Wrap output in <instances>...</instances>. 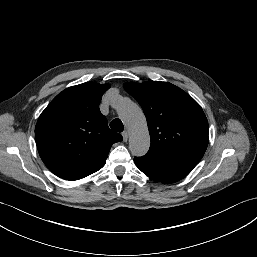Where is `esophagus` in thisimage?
Instances as JSON below:
<instances>
[{
	"instance_id": "esophagus-1",
	"label": "esophagus",
	"mask_w": 257,
	"mask_h": 257,
	"mask_svg": "<svg viewBox=\"0 0 257 257\" xmlns=\"http://www.w3.org/2000/svg\"><path fill=\"white\" fill-rule=\"evenodd\" d=\"M122 137H123V141H124V142H127V141H128V133H127V131H124V132L122 133Z\"/></svg>"
}]
</instances>
